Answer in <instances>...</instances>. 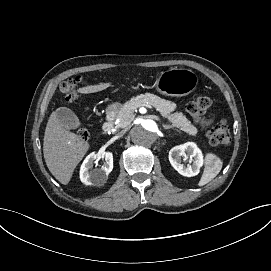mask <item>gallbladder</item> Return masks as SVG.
Segmentation results:
<instances>
[{"label":"gallbladder","mask_w":271,"mask_h":271,"mask_svg":"<svg viewBox=\"0 0 271 271\" xmlns=\"http://www.w3.org/2000/svg\"><path fill=\"white\" fill-rule=\"evenodd\" d=\"M59 125L66 129H76L80 122L75 113L66 107L57 108L55 111Z\"/></svg>","instance_id":"1"}]
</instances>
